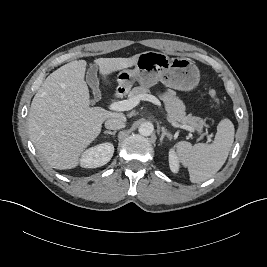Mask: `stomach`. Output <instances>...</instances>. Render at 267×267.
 I'll return each instance as SVG.
<instances>
[{
    "mask_svg": "<svg viewBox=\"0 0 267 267\" xmlns=\"http://www.w3.org/2000/svg\"><path fill=\"white\" fill-rule=\"evenodd\" d=\"M200 80L197 66L188 58H169L166 54L146 51L137 55L134 69L118 73V88L127 93L135 81L143 87H151L157 82L182 91L195 88Z\"/></svg>",
    "mask_w": 267,
    "mask_h": 267,
    "instance_id": "1",
    "label": "stomach"
}]
</instances>
